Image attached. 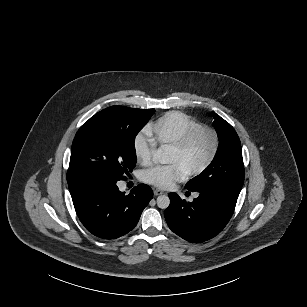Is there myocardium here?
<instances>
[{
    "label": "myocardium",
    "instance_id": "obj_1",
    "mask_svg": "<svg viewBox=\"0 0 307 307\" xmlns=\"http://www.w3.org/2000/svg\"><path fill=\"white\" fill-rule=\"evenodd\" d=\"M203 134H209L212 137L213 146L207 158L199 166L187 172L190 176H197L203 173L216 159L221 147V136L219 132L210 127L200 128L178 142L168 145L169 149L175 152H183Z\"/></svg>",
    "mask_w": 307,
    "mask_h": 307
}]
</instances>
